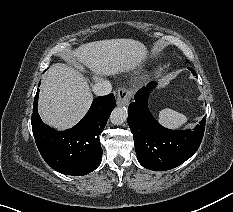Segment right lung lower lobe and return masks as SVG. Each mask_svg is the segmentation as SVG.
<instances>
[{
  "label": "right lung lower lobe",
  "instance_id": "obj_1",
  "mask_svg": "<svg viewBox=\"0 0 233 212\" xmlns=\"http://www.w3.org/2000/svg\"><path fill=\"white\" fill-rule=\"evenodd\" d=\"M39 89L32 113V130L40 154L54 170L67 175H86L95 170L102 157L99 135L115 108L112 93L97 97L73 128L56 131L45 125L37 111Z\"/></svg>",
  "mask_w": 233,
  "mask_h": 212
}]
</instances>
